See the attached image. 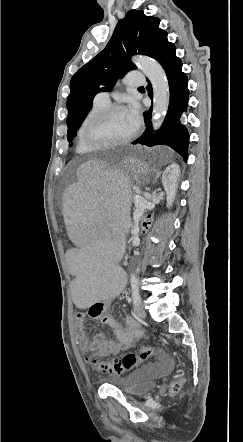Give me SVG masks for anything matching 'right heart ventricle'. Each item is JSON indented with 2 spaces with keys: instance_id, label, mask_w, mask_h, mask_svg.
Listing matches in <instances>:
<instances>
[{
  "instance_id": "obj_1",
  "label": "right heart ventricle",
  "mask_w": 243,
  "mask_h": 442,
  "mask_svg": "<svg viewBox=\"0 0 243 442\" xmlns=\"http://www.w3.org/2000/svg\"><path fill=\"white\" fill-rule=\"evenodd\" d=\"M109 104L106 103H102L97 101L96 99H94L90 109L88 110V112L86 113L85 117L83 118L78 130H77V134H76V151L80 154H88L94 151L93 148H91L90 146H88L83 138H82V130H83V126L85 124V122L87 121L88 118H90L92 115H94L95 113H97L98 111L102 110L103 108L107 107Z\"/></svg>"
}]
</instances>
